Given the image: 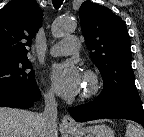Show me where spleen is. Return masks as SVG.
<instances>
[{
  "mask_svg": "<svg viewBox=\"0 0 144 137\" xmlns=\"http://www.w3.org/2000/svg\"><path fill=\"white\" fill-rule=\"evenodd\" d=\"M125 137H144V132L134 124L129 123L126 127Z\"/></svg>",
  "mask_w": 144,
  "mask_h": 137,
  "instance_id": "1",
  "label": "spleen"
}]
</instances>
